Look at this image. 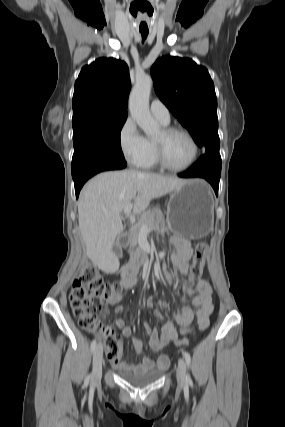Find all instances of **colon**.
I'll return each mask as SVG.
<instances>
[{"label": "colon", "mask_w": 285, "mask_h": 427, "mask_svg": "<svg viewBox=\"0 0 285 427\" xmlns=\"http://www.w3.org/2000/svg\"><path fill=\"white\" fill-rule=\"evenodd\" d=\"M207 254L208 245L204 242L196 243L190 266L189 282L191 284L200 280ZM122 288L120 283L105 282L96 266L85 263L79 276L73 282L70 292V305L79 326L98 335L103 340L109 360H116L120 357L122 343L119 335L99 319L95 300L105 301L112 293L118 292Z\"/></svg>", "instance_id": "obj_1"}]
</instances>
